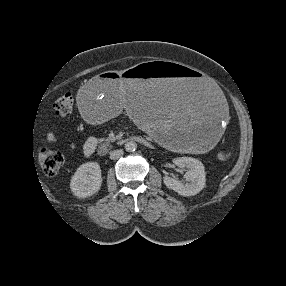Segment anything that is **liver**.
I'll return each mask as SVG.
<instances>
[{
    "label": "liver",
    "instance_id": "1",
    "mask_svg": "<svg viewBox=\"0 0 286 286\" xmlns=\"http://www.w3.org/2000/svg\"><path fill=\"white\" fill-rule=\"evenodd\" d=\"M120 96L122 97V103L125 102V95H126V88H121L119 92Z\"/></svg>",
    "mask_w": 286,
    "mask_h": 286
}]
</instances>
